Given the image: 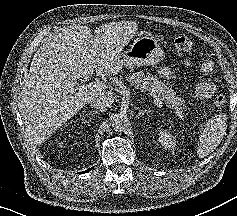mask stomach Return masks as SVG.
I'll list each match as a JSON object with an SVG mask.
<instances>
[{
  "label": "stomach",
  "instance_id": "0dacf381",
  "mask_svg": "<svg viewBox=\"0 0 237 216\" xmlns=\"http://www.w3.org/2000/svg\"><path fill=\"white\" fill-rule=\"evenodd\" d=\"M163 59L164 51L153 37L148 36L135 39L131 47L122 53V60L128 68L156 65Z\"/></svg>",
  "mask_w": 237,
  "mask_h": 216
}]
</instances>
